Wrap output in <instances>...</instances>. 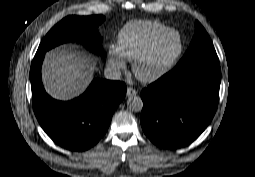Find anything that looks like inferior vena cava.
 I'll use <instances>...</instances> for the list:
<instances>
[{
    "label": "inferior vena cava",
    "instance_id": "1",
    "mask_svg": "<svg viewBox=\"0 0 255 177\" xmlns=\"http://www.w3.org/2000/svg\"><path fill=\"white\" fill-rule=\"evenodd\" d=\"M104 77L109 80H119L121 77V71L115 66H107L104 69Z\"/></svg>",
    "mask_w": 255,
    "mask_h": 177
}]
</instances>
